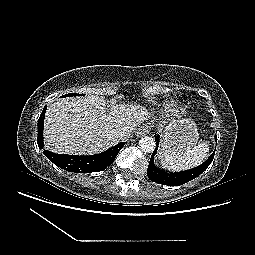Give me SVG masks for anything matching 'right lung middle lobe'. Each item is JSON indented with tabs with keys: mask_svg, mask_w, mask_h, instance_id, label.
I'll list each match as a JSON object with an SVG mask.
<instances>
[{
	"mask_svg": "<svg viewBox=\"0 0 255 255\" xmlns=\"http://www.w3.org/2000/svg\"><path fill=\"white\" fill-rule=\"evenodd\" d=\"M70 96H79V94L69 93V94L63 95L62 97H70Z\"/></svg>",
	"mask_w": 255,
	"mask_h": 255,
	"instance_id": "dd1d6c3e",
	"label": "right lung middle lobe"
}]
</instances>
